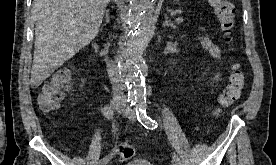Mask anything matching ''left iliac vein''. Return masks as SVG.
Masks as SVG:
<instances>
[{
  "instance_id": "left-iliac-vein-1",
  "label": "left iliac vein",
  "mask_w": 276,
  "mask_h": 165,
  "mask_svg": "<svg viewBox=\"0 0 276 165\" xmlns=\"http://www.w3.org/2000/svg\"><path fill=\"white\" fill-rule=\"evenodd\" d=\"M118 112L123 114L124 116H126L127 118H129L132 121H136V114L133 110L131 109H126L124 107H120L118 109Z\"/></svg>"
}]
</instances>
